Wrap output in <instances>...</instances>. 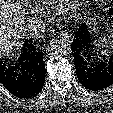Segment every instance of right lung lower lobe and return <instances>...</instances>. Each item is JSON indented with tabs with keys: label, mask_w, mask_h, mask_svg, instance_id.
I'll list each match as a JSON object with an SVG mask.
<instances>
[{
	"label": "right lung lower lobe",
	"mask_w": 113,
	"mask_h": 113,
	"mask_svg": "<svg viewBox=\"0 0 113 113\" xmlns=\"http://www.w3.org/2000/svg\"><path fill=\"white\" fill-rule=\"evenodd\" d=\"M45 74L43 53L33 44L32 38L25 40L16 63L0 61V83L18 98L38 95L44 86Z\"/></svg>",
	"instance_id": "obj_1"
}]
</instances>
